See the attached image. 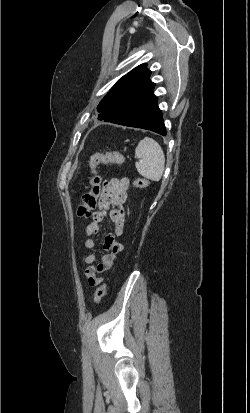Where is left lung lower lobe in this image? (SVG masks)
<instances>
[{
    "mask_svg": "<svg viewBox=\"0 0 250 413\" xmlns=\"http://www.w3.org/2000/svg\"><path fill=\"white\" fill-rule=\"evenodd\" d=\"M154 86L151 81L140 84L122 101L117 113L109 114L99 120L151 130L165 136L166 128L162 112L157 106V98L153 93Z\"/></svg>",
    "mask_w": 250,
    "mask_h": 413,
    "instance_id": "obj_1",
    "label": "left lung lower lobe"
}]
</instances>
